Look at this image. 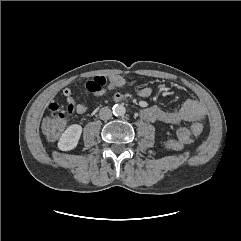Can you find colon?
<instances>
[{"mask_svg":"<svg viewBox=\"0 0 241 241\" xmlns=\"http://www.w3.org/2000/svg\"><path fill=\"white\" fill-rule=\"evenodd\" d=\"M107 81L102 76H96L86 83V89L94 94H100L104 91ZM111 86V85H110ZM75 106L68 104L66 109H62L58 104L52 103L49 105V117L44 121L43 130L45 134L51 138H57L63 130L67 118L74 112ZM203 130V125L196 122L191 126V133L199 135ZM167 146L173 151H182L183 143L178 140H170Z\"/></svg>","mask_w":241,"mask_h":241,"instance_id":"1","label":"colon"}]
</instances>
